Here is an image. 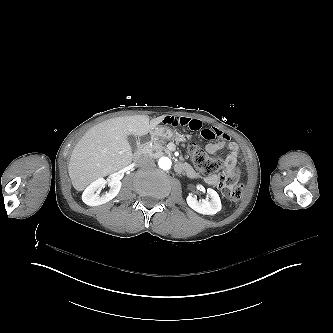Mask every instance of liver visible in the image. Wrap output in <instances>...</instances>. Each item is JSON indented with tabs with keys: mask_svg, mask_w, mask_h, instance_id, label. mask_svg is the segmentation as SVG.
Masks as SVG:
<instances>
[{
	"mask_svg": "<svg viewBox=\"0 0 333 333\" xmlns=\"http://www.w3.org/2000/svg\"><path fill=\"white\" fill-rule=\"evenodd\" d=\"M166 115L150 120L148 115L117 117L89 129L74 147L68 173L73 187L83 191L99 177L121 170L132 162L128 136L142 137L163 121Z\"/></svg>",
	"mask_w": 333,
	"mask_h": 333,
	"instance_id": "liver-1",
	"label": "liver"
}]
</instances>
